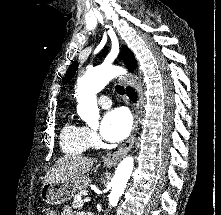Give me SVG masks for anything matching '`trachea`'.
Returning <instances> with one entry per match:
<instances>
[{
    "label": "trachea",
    "instance_id": "3493384b",
    "mask_svg": "<svg viewBox=\"0 0 221 215\" xmlns=\"http://www.w3.org/2000/svg\"><path fill=\"white\" fill-rule=\"evenodd\" d=\"M116 92L120 95H124L125 94V89L121 86V85H116Z\"/></svg>",
    "mask_w": 221,
    "mask_h": 215
}]
</instances>
